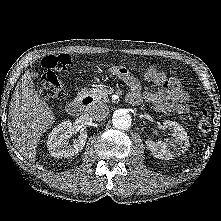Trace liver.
Listing matches in <instances>:
<instances>
[{
    "label": "liver",
    "mask_w": 221,
    "mask_h": 221,
    "mask_svg": "<svg viewBox=\"0 0 221 221\" xmlns=\"http://www.w3.org/2000/svg\"><path fill=\"white\" fill-rule=\"evenodd\" d=\"M8 120V131L15 147L22 156L34 162L41 136L54 124L55 116L39 98L29 71L15 87Z\"/></svg>",
    "instance_id": "6515ba94"
}]
</instances>
